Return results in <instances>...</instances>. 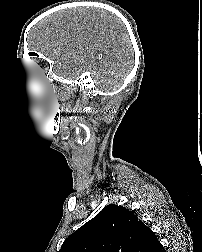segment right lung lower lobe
<instances>
[{"instance_id": "1", "label": "right lung lower lobe", "mask_w": 202, "mask_h": 252, "mask_svg": "<svg viewBox=\"0 0 202 252\" xmlns=\"http://www.w3.org/2000/svg\"><path fill=\"white\" fill-rule=\"evenodd\" d=\"M161 252H165L164 248H163V250H161Z\"/></svg>"}]
</instances>
